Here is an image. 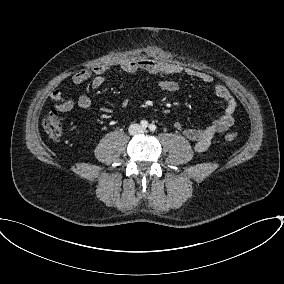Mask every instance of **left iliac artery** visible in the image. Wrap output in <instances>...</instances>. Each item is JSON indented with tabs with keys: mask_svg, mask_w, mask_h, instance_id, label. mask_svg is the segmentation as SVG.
<instances>
[{
	"mask_svg": "<svg viewBox=\"0 0 284 284\" xmlns=\"http://www.w3.org/2000/svg\"><path fill=\"white\" fill-rule=\"evenodd\" d=\"M150 131L154 132L156 130V125L155 124H151L149 126Z\"/></svg>",
	"mask_w": 284,
	"mask_h": 284,
	"instance_id": "left-iliac-artery-1",
	"label": "left iliac artery"
}]
</instances>
